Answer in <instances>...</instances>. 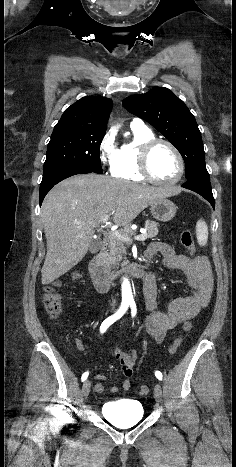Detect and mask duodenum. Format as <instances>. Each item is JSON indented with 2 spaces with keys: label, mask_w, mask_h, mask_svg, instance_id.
I'll return each instance as SVG.
<instances>
[{
  "label": "duodenum",
  "mask_w": 236,
  "mask_h": 467,
  "mask_svg": "<svg viewBox=\"0 0 236 467\" xmlns=\"http://www.w3.org/2000/svg\"><path fill=\"white\" fill-rule=\"evenodd\" d=\"M107 242L102 240L99 243L98 250L90 258L87 268L88 272L99 292H108L117 282L118 276L110 272L104 264V254ZM124 274L127 276H138L148 279L151 273L141 261L131 262L124 268Z\"/></svg>",
  "instance_id": "1"
}]
</instances>
